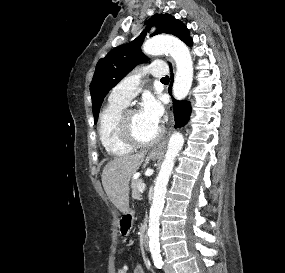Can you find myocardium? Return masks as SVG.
Listing matches in <instances>:
<instances>
[{"label":"myocardium","mask_w":285,"mask_h":273,"mask_svg":"<svg viewBox=\"0 0 285 273\" xmlns=\"http://www.w3.org/2000/svg\"><path fill=\"white\" fill-rule=\"evenodd\" d=\"M134 112H136L134 108H125L121 112L118 120V134L120 139L132 148L149 147L159 142L164 135L163 127H159L156 136L148 141H141L134 135L129 124V115Z\"/></svg>","instance_id":"myocardium-1"}]
</instances>
